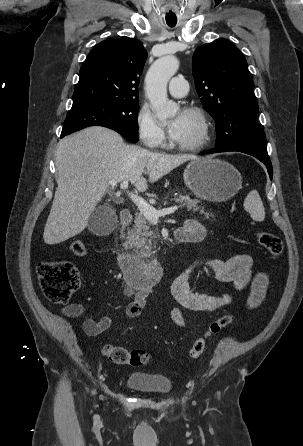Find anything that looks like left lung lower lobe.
<instances>
[{
  "mask_svg": "<svg viewBox=\"0 0 303 446\" xmlns=\"http://www.w3.org/2000/svg\"><path fill=\"white\" fill-rule=\"evenodd\" d=\"M227 151H239V152H243V153H246V154H249V155H252V156L256 157L257 159H259L262 163H264L266 165L268 173H269V176H270V179H272V174H273L272 173V164H271V161L269 159V156H262V155H259V154H255L253 152L237 150V149H229V150H226V151L212 150V151H208L207 153L227 152ZM203 153H205V152H203Z\"/></svg>",
  "mask_w": 303,
  "mask_h": 446,
  "instance_id": "left-lung-lower-lobe-1",
  "label": "left lung lower lobe"
}]
</instances>
